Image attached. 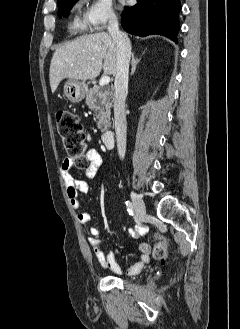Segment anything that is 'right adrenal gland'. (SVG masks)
I'll use <instances>...</instances> for the list:
<instances>
[{
	"instance_id": "right-adrenal-gland-1",
	"label": "right adrenal gland",
	"mask_w": 240,
	"mask_h": 329,
	"mask_svg": "<svg viewBox=\"0 0 240 329\" xmlns=\"http://www.w3.org/2000/svg\"><path fill=\"white\" fill-rule=\"evenodd\" d=\"M140 59H136L134 57V54L132 53V61H131V65H132V68H131V75L134 74L135 70H136V65L139 63Z\"/></svg>"
}]
</instances>
